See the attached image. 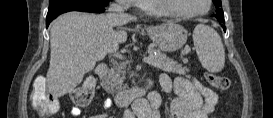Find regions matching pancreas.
<instances>
[{
  "mask_svg": "<svg viewBox=\"0 0 273 118\" xmlns=\"http://www.w3.org/2000/svg\"><path fill=\"white\" fill-rule=\"evenodd\" d=\"M149 51L151 53L157 52L156 56H151L152 61L151 65L167 72H176L178 74H186L189 69L181 64H178L176 61H173L171 58L167 57L165 54L161 53L158 49L150 47ZM186 51L182 52V55L186 54ZM182 58L183 63H187L188 59ZM127 62H113L112 68L108 71V74L104 77L102 85L104 89L111 94H117L120 91L124 90L126 86H123V82L126 75V66Z\"/></svg>",
  "mask_w": 273,
  "mask_h": 118,
  "instance_id": "pancreas-1",
  "label": "pancreas"
}]
</instances>
